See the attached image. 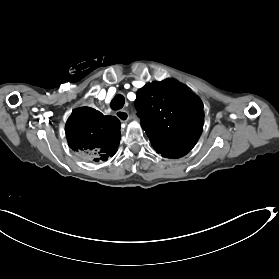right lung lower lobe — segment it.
I'll use <instances>...</instances> for the list:
<instances>
[{
  "label": "right lung lower lobe",
  "instance_id": "right-lung-lower-lobe-1",
  "mask_svg": "<svg viewBox=\"0 0 279 279\" xmlns=\"http://www.w3.org/2000/svg\"><path fill=\"white\" fill-rule=\"evenodd\" d=\"M69 147L87 162L106 161L119 146L120 121L115 116L81 107L75 109L65 128Z\"/></svg>",
  "mask_w": 279,
  "mask_h": 279
}]
</instances>
